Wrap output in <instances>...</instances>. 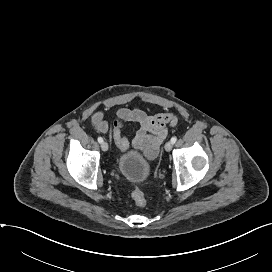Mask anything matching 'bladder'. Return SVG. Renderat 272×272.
I'll use <instances>...</instances> for the list:
<instances>
[{
    "label": "bladder",
    "instance_id": "1",
    "mask_svg": "<svg viewBox=\"0 0 272 272\" xmlns=\"http://www.w3.org/2000/svg\"><path fill=\"white\" fill-rule=\"evenodd\" d=\"M117 168L124 178L135 183L145 181L151 172L149 161L137 151H127L120 155Z\"/></svg>",
    "mask_w": 272,
    "mask_h": 272
}]
</instances>
